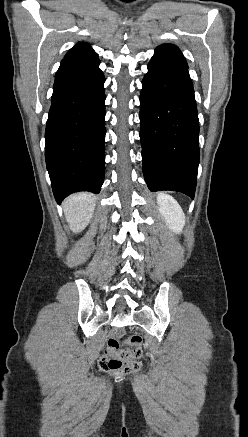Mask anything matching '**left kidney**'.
Masks as SVG:
<instances>
[{
  "mask_svg": "<svg viewBox=\"0 0 248 437\" xmlns=\"http://www.w3.org/2000/svg\"><path fill=\"white\" fill-rule=\"evenodd\" d=\"M157 204L169 228L175 233L182 232L185 214L178 202L172 196L160 193L157 196Z\"/></svg>",
  "mask_w": 248,
  "mask_h": 437,
  "instance_id": "1",
  "label": "left kidney"
}]
</instances>
